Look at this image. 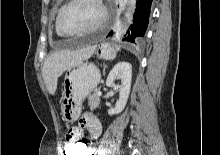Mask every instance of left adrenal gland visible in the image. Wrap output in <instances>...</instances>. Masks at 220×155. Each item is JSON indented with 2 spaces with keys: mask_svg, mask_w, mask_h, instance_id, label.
<instances>
[{
  "mask_svg": "<svg viewBox=\"0 0 220 155\" xmlns=\"http://www.w3.org/2000/svg\"><path fill=\"white\" fill-rule=\"evenodd\" d=\"M105 69H106V65H105L104 68H103V74H105Z\"/></svg>",
  "mask_w": 220,
  "mask_h": 155,
  "instance_id": "obj_1",
  "label": "left adrenal gland"
}]
</instances>
